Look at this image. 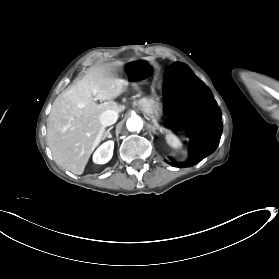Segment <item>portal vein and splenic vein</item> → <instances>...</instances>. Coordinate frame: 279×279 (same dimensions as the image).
<instances>
[{
    "mask_svg": "<svg viewBox=\"0 0 279 279\" xmlns=\"http://www.w3.org/2000/svg\"><path fill=\"white\" fill-rule=\"evenodd\" d=\"M91 105H96V100H91ZM98 139V137H97Z\"/></svg>",
    "mask_w": 279,
    "mask_h": 279,
    "instance_id": "1",
    "label": "portal vein and splenic vein"
}]
</instances>
